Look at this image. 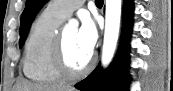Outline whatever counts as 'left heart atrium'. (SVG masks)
<instances>
[{"label": "left heart atrium", "instance_id": "left-heart-atrium-1", "mask_svg": "<svg viewBox=\"0 0 173 91\" xmlns=\"http://www.w3.org/2000/svg\"><path fill=\"white\" fill-rule=\"evenodd\" d=\"M98 34L94 21L91 17L85 15L81 19V25L77 31V40L80 48L86 53L93 52Z\"/></svg>", "mask_w": 173, "mask_h": 91}]
</instances>
